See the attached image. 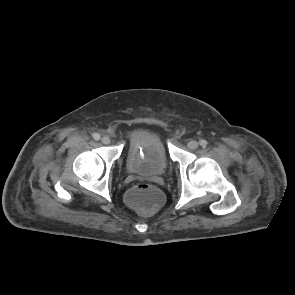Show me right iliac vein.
Wrapping results in <instances>:
<instances>
[{
  "mask_svg": "<svg viewBox=\"0 0 295 295\" xmlns=\"http://www.w3.org/2000/svg\"><path fill=\"white\" fill-rule=\"evenodd\" d=\"M110 138L108 137V136H103L102 138H101V142L103 143V144H109L110 143Z\"/></svg>",
  "mask_w": 295,
  "mask_h": 295,
  "instance_id": "obj_1",
  "label": "right iliac vein"
}]
</instances>
